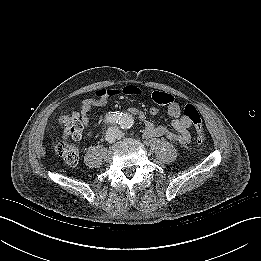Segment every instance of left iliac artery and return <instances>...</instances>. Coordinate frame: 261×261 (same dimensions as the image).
Returning <instances> with one entry per match:
<instances>
[{"mask_svg": "<svg viewBox=\"0 0 261 261\" xmlns=\"http://www.w3.org/2000/svg\"><path fill=\"white\" fill-rule=\"evenodd\" d=\"M134 120L128 115L122 116L119 124L122 129H130L133 126Z\"/></svg>", "mask_w": 261, "mask_h": 261, "instance_id": "44dca946", "label": "left iliac artery"}]
</instances>
